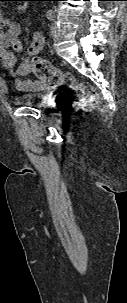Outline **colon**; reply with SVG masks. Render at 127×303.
I'll use <instances>...</instances> for the list:
<instances>
[{"label":"colon","mask_w":127,"mask_h":303,"mask_svg":"<svg viewBox=\"0 0 127 303\" xmlns=\"http://www.w3.org/2000/svg\"><path fill=\"white\" fill-rule=\"evenodd\" d=\"M32 64L36 75L45 80L49 87L67 88L69 91L60 94V103L67 107L76 104L94 105L97 95L89 83L78 82L69 72L54 68L51 63L38 55L32 57Z\"/></svg>","instance_id":"colon-1"}]
</instances>
